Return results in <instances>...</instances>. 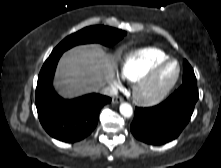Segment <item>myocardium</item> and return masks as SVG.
I'll return each instance as SVG.
<instances>
[{"instance_id":"f54148a6","label":"myocardium","mask_w":221,"mask_h":168,"mask_svg":"<svg viewBox=\"0 0 221 168\" xmlns=\"http://www.w3.org/2000/svg\"><path fill=\"white\" fill-rule=\"evenodd\" d=\"M169 64L176 65V71L173 77L165 84L154 87V83L163 70ZM181 67L176 59L168 58L156 64L142 78H140L135 87L134 93L136 99L144 105H153L163 100L175 87L180 77Z\"/></svg>"}]
</instances>
